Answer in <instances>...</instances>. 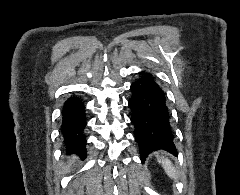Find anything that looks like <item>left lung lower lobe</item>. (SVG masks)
Masks as SVG:
<instances>
[{"mask_svg": "<svg viewBox=\"0 0 240 195\" xmlns=\"http://www.w3.org/2000/svg\"><path fill=\"white\" fill-rule=\"evenodd\" d=\"M138 75L131 84L128 104L141 160L160 149L176 154L165 93L152 74L142 71Z\"/></svg>", "mask_w": 240, "mask_h": 195, "instance_id": "obj_1", "label": "left lung lower lobe"}]
</instances>
